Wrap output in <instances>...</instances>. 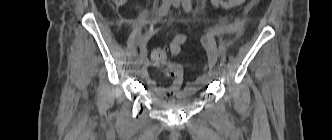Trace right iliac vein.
<instances>
[{"label": "right iliac vein", "instance_id": "63e3f726", "mask_svg": "<svg viewBox=\"0 0 332 140\" xmlns=\"http://www.w3.org/2000/svg\"><path fill=\"white\" fill-rule=\"evenodd\" d=\"M168 1H170V0H163V3L168 2ZM142 62H143V58L138 57L135 61V68L138 69L141 66Z\"/></svg>", "mask_w": 332, "mask_h": 140}]
</instances>
